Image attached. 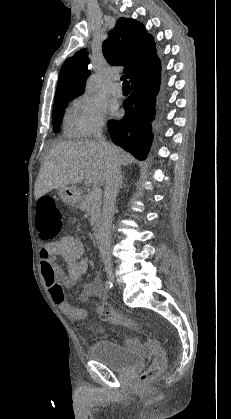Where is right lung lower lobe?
Instances as JSON below:
<instances>
[{
  "instance_id": "1",
  "label": "right lung lower lobe",
  "mask_w": 231,
  "mask_h": 419,
  "mask_svg": "<svg viewBox=\"0 0 231 419\" xmlns=\"http://www.w3.org/2000/svg\"><path fill=\"white\" fill-rule=\"evenodd\" d=\"M130 81L132 93L124 101L125 116L120 121L110 120L108 131L117 145L144 160L153 138L151 122L161 81L160 60L134 75Z\"/></svg>"
}]
</instances>
